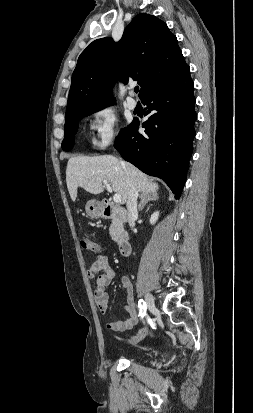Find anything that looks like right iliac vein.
<instances>
[{
	"label": "right iliac vein",
	"instance_id": "obj_1",
	"mask_svg": "<svg viewBox=\"0 0 253 413\" xmlns=\"http://www.w3.org/2000/svg\"><path fill=\"white\" fill-rule=\"evenodd\" d=\"M145 300H146V305H147L148 310L151 313L155 312V310H156L155 302H154V299H153V297L150 293H147L145 295Z\"/></svg>",
	"mask_w": 253,
	"mask_h": 413
}]
</instances>
